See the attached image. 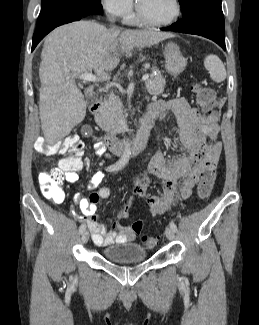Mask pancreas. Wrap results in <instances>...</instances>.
<instances>
[{"label": "pancreas", "instance_id": "1", "mask_svg": "<svg viewBox=\"0 0 259 325\" xmlns=\"http://www.w3.org/2000/svg\"><path fill=\"white\" fill-rule=\"evenodd\" d=\"M152 70L157 73L146 81V88L149 94L160 95L164 91L166 81L158 68L153 67ZM121 118H123V105L119 97L114 93H110L108 98L104 99L101 104L99 112L95 115V121L103 131L115 135L122 131L119 124Z\"/></svg>", "mask_w": 259, "mask_h": 325}]
</instances>
